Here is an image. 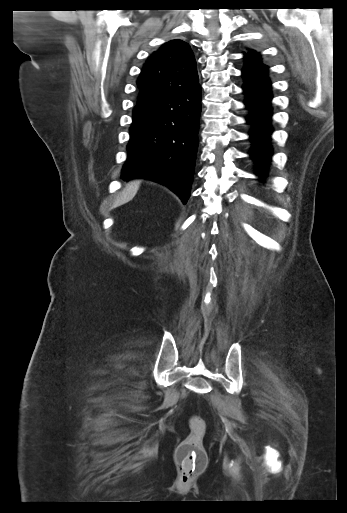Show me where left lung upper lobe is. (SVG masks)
I'll return each mask as SVG.
<instances>
[{"mask_svg": "<svg viewBox=\"0 0 347 513\" xmlns=\"http://www.w3.org/2000/svg\"><path fill=\"white\" fill-rule=\"evenodd\" d=\"M255 56H259L257 53H255L253 50H250L246 55L245 57H255Z\"/></svg>", "mask_w": 347, "mask_h": 513, "instance_id": "left-lung-upper-lobe-1", "label": "left lung upper lobe"}]
</instances>
